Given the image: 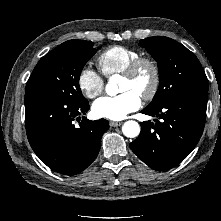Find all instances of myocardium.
Masks as SVG:
<instances>
[{
	"label": "myocardium",
	"instance_id": "1",
	"mask_svg": "<svg viewBox=\"0 0 221 221\" xmlns=\"http://www.w3.org/2000/svg\"><path fill=\"white\" fill-rule=\"evenodd\" d=\"M143 68L150 69L152 73L150 87L140 95L144 100L149 101L156 96L161 84V70L154 59L140 56L132 61L121 75L123 78L134 80Z\"/></svg>",
	"mask_w": 221,
	"mask_h": 221
}]
</instances>
